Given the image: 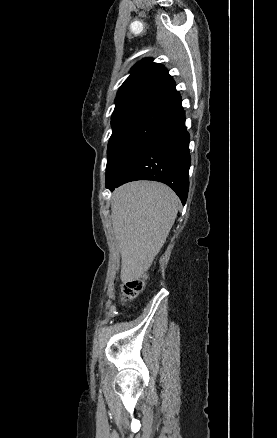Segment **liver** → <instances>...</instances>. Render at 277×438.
Wrapping results in <instances>:
<instances>
[{
	"instance_id": "6515ba94",
	"label": "liver",
	"mask_w": 277,
	"mask_h": 438,
	"mask_svg": "<svg viewBox=\"0 0 277 438\" xmlns=\"http://www.w3.org/2000/svg\"><path fill=\"white\" fill-rule=\"evenodd\" d=\"M178 198L158 182H130L113 192L112 226L121 252V282L143 278L177 218Z\"/></svg>"
}]
</instances>
